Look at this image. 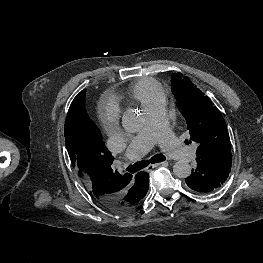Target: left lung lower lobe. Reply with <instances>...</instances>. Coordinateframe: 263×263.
<instances>
[{
  "instance_id": "left-lung-lower-lobe-1",
  "label": "left lung lower lobe",
  "mask_w": 263,
  "mask_h": 263,
  "mask_svg": "<svg viewBox=\"0 0 263 263\" xmlns=\"http://www.w3.org/2000/svg\"><path fill=\"white\" fill-rule=\"evenodd\" d=\"M231 162L230 151H219L209 156L197 157L196 166L185 181L196 192L211 193L223 185L228 178Z\"/></svg>"
}]
</instances>
